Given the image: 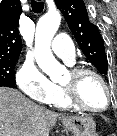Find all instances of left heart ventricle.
Segmentation results:
<instances>
[{"instance_id": "left-heart-ventricle-1", "label": "left heart ventricle", "mask_w": 117, "mask_h": 136, "mask_svg": "<svg viewBox=\"0 0 117 136\" xmlns=\"http://www.w3.org/2000/svg\"><path fill=\"white\" fill-rule=\"evenodd\" d=\"M61 84L75 85L76 93L79 101L85 106L92 109H101L105 107L107 96L101 82L93 75H83L78 79H74L68 72Z\"/></svg>"}]
</instances>
